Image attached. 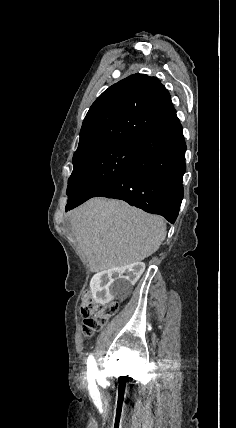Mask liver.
<instances>
[{
    "instance_id": "6515ba94",
    "label": "liver",
    "mask_w": 236,
    "mask_h": 428,
    "mask_svg": "<svg viewBox=\"0 0 236 428\" xmlns=\"http://www.w3.org/2000/svg\"><path fill=\"white\" fill-rule=\"evenodd\" d=\"M71 228L91 272L144 260L166 238V222L122 200L92 198L70 212Z\"/></svg>"
}]
</instances>
